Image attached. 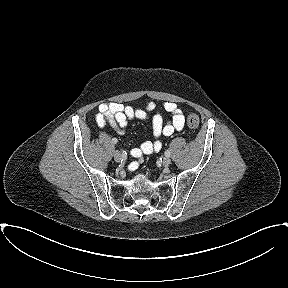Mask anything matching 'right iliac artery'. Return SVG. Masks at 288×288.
I'll list each match as a JSON object with an SVG mask.
<instances>
[{
	"mask_svg": "<svg viewBox=\"0 0 288 288\" xmlns=\"http://www.w3.org/2000/svg\"><path fill=\"white\" fill-rule=\"evenodd\" d=\"M117 142H118V140H117L116 138H113V139H112V143H113V144H116Z\"/></svg>",
	"mask_w": 288,
	"mask_h": 288,
	"instance_id": "right-iliac-artery-1",
	"label": "right iliac artery"
}]
</instances>
